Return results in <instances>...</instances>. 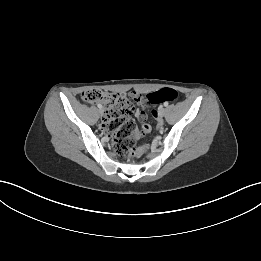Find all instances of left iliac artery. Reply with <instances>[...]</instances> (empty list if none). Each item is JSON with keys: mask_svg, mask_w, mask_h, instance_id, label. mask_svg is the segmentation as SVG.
I'll return each instance as SVG.
<instances>
[{"mask_svg": "<svg viewBox=\"0 0 261 261\" xmlns=\"http://www.w3.org/2000/svg\"><path fill=\"white\" fill-rule=\"evenodd\" d=\"M164 106H168V102L166 101V102H164Z\"/></svg>", "mask_w": 261, "mask_h": 261, "instance_id": "1", "label": "left iliac artery"}]
</instances>
